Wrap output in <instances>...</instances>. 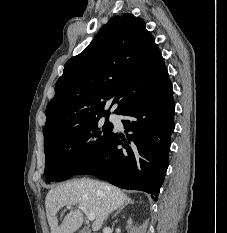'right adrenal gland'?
I'll return each mask as SVG.
<instances>
[{"instance_id": "2a0ac1e0", "label": "right adrenal gland", "mask_w": 227, "mask_h": 233, "mask_svg": "<svg viewBox=\"0 0 227 233\" xmlns=\"http://www.w3.org/2000/svg\"><path fill=\"white\" fill-rule=\"evenodd\" d=\"M131 204H133L134 202L133 201H130ZM125 208V206H122L120 207L117 212L113 215L112 218H115L123 209Z\"/></svg>"}]
</instances>
